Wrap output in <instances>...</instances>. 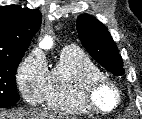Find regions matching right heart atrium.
I'll return each instance as SVG.
<instances>
[{
  "mask_svg": "<svg viewBox=\"0 0 142 119\" xmlns=\"http://www.w3.org/2000/svg\"><path fill=\"white\" fill-rule=\"evenodd\" d=\"M48 74L45 57L39 51L28 54L16 71V86L22 98L30 105L42 103Z\"/></svg>",
  "mask_w": 142,
  "mask_h": 119,
  "instance_id": "1",
  "label": "right heart atrium"
}]
</instances>
